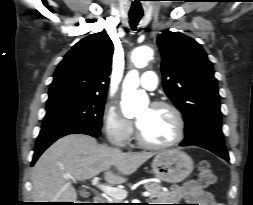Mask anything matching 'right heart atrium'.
I'll list each match as a JSON object with an SVG mask.
<instances>
[{"instance_id": "right-heart-atrium-1", "label": "right heart atrium", "mask_w": 253, "mask_h": 205, "mask_svg": "<svg viewBox=\"0 0 253 205\" xmlns=\"http://www.w3.org/2000/svg\"><path fill=\"white\" fill-rule=\"evenodd\" d=\"M102 126L106 137L120 146L129 141L133 132L132 123L112 105L103 110Z\"/></svg>"}]
</instances>
